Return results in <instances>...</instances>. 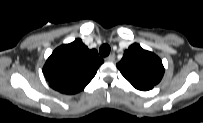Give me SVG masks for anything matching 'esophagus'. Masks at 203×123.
I'll list each match as a JSON object with an SVG mask.
<instances>
[{
	"label": "esophagus",
	"mask_w": 203,
	"mask_h": 123,
	"mask_svg": "<svg viewBox=\"0 0 203 123\" xmlns=\"http://www.w3.org/2000/svg\"><path fill=\"white\" fill-rule=\"evenodd\" d=\"M114 60H115L114 54H111L105 58V61H107V62H113Z\"/></svg>",
	"instance_id": "1"
}]
</instances>
